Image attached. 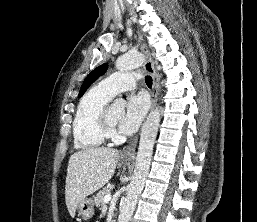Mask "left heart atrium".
<instances>
[{"label":"left heart atrium","mask_w":257,"mask_h":222,"mask_svg":"<svg viewBox=\"0 0 257 222\" xmlns=\"http://www.w3.org/2000/svg\"><path fill=\"white\" fill-rule=\"evenodd\" d=\"M149 108L145 95H131L128 98L125 112L120 120L119 128L123 133L131 134L139 127Z\"/></svg>","instance_id":"1"}]
</instances>
